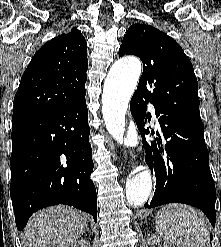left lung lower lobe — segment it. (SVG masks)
<instances>
[{"label": "left lung lower lobe", "mask_w": 221, "mask_h": 247, "mask_svg": "<svg viewBox=\"0 0 221 247\" xmlns=\"http://www.w3.org/2000/svg\"><path fill=\"white\" fill-rule=\"evenodd\" d=\"M131 114L143 137L148 134L145 122L151 120L146 113L147 102L133 94ZM160 132L151 148L143 139L148 151L147 163L156 176V189L152 200L145 204L153 208L168 203H184L201 209L212 226H215L216 190L209 168V153L204 141V125L155 110ZM162 138L166 144L162 145Z\"/></svg>", "instance_id": "0a47b994"}]
</instances>
